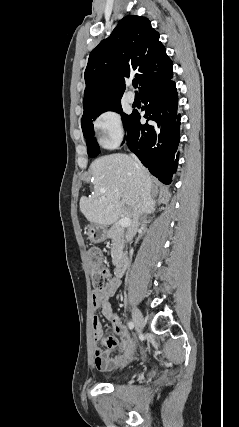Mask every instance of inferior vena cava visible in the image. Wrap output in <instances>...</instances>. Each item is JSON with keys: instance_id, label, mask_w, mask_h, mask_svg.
Returning <instances> with one entry per match:
<instances>
[{"instance_id": "obj_1", "label": "inferior vena cava", "mask_w": 239, "mask_h": 427, "mask_svg": "<svg viewBox=\"0 0 239 427\" xmlns=\"http://www.w3.org/2000/svg\"><path fill=\"white\" fill-rule=\"evenodd\" d=\"M135 162L137 163V166L140 167L141 164L136 156H132ZM153 204V200L151 198V192H150V186L147 182L144 183V187L141 190V196L136 204V213L134 215L133 221L131 226L128 228L126 233V239L127 241H131L137 227L142 220V218L145 216L146 213L149 212V209L151 205Z\"/></svg>"}]
</instances>
